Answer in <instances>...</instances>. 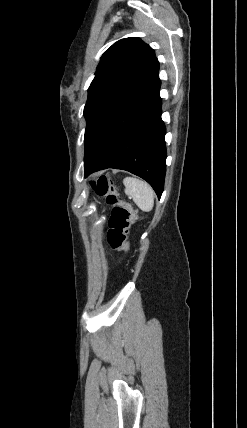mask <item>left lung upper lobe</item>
I'll return each instance as SVG.
<instances>
[{
    "instance_id": "5c2ea615",
    "label": "left lung upper lobe",
    "mask_w": 247,
    "mask_h": 428,
    "mask_svg": "<svg viewBox=\"0 0 247 428\" xmlns=\"http://www.w3.org/2000/svg\"><path fill=\"white\" fill-rule=\"evenodd\" d=\"M158 71L159 62L154 50L139 38L121 39L104 52L84 107V159L110 117L151 85L157 79Z\"/></svg>"
}]
</instances>
